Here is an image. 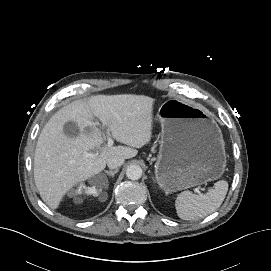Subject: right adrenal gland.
<instances>
[{
	"mask_svg": "<svg viewBox=\"0 0 271 271\" xmlns=\"http://www.w3.org/2000/svg\"><path fill=\"white\" fill-rule=\"evenodd\" d=\"M118 171H119V169H115V170H113V171H105V173H106L108 176L114 177V175H115L116 173H118Z\"/></svg>",
	"mask_w": 271,
	"mask_h": 271,
	"instance_id": "2a0ac1e0",
	"label": "right adrenal gland"
}]
</instances>
